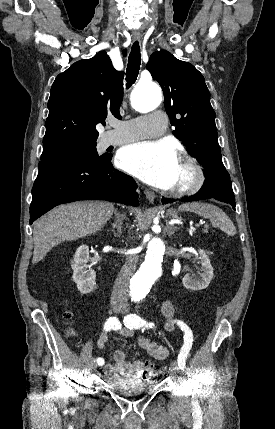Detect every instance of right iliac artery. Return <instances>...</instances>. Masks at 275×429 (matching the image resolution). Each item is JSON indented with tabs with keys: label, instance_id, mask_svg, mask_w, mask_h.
<instances>
[{
	"label": "right iliac artery",
	"instance_id": "obj_1",
	"mask_svg": "<svg viewBox=\"0 0 275 429\" xmlns=\"http://www.w3.org/2000/svg\"><path fill=\"white\" fill-rule=\"evenodd\" d=\"M120 328H121V325H120V323H119V321H118V319L116 317H110V318H108L107 321L104 324V330L105 331H110L111 329L118 330ZM96 361H97V364L100 365V366L104 365V363H105L104 359L101 358V357H98L96 359Z\"/></svg>",
	"mask_w": 275,
	"mask_h": 429
}]
</instances>
